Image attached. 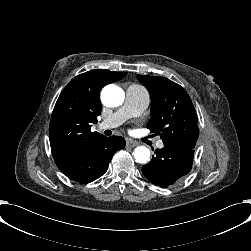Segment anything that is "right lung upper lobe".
<instances>
[{
  "label": "right lung upper lobe",
  "mask_w": 251,
  "mask_h": 251,
  "mask_svg": "<svg viewBox=\"0 0 251 251\" xmlns=\"http://www.w3.org/2000/svg\"><path fill=\"white\" fill-rule=\"evenodd\" d=\"M126 72L91 70L73 78L61 92L52 112L49 139L53 158L62 169L82 157L102 135L91 132L101 113L100 91Z\"/></svg>",
  "instance_id": "1"
}]
</instances>
